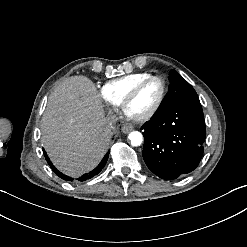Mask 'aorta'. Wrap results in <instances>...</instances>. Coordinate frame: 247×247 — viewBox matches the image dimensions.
Segmentation results:
<instances>
[{
  "label": "aorta",
  "mask_w": 247,
  "mask_h": 247,
  "mask_svg": "<svg viewBox=\"0 0 247 247\" xmlns=\"http://www.w3.org/2000/svg\"><path fill=\"white\" fill-rule=\"evenodd\" d=\"M132 146H140L143 141V136L138 131H133L128 136Z\"/></svg>",
  "instance_id": "aorta-1"
}]
</instances>
